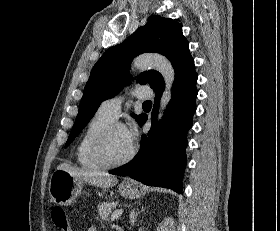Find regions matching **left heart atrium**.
<instances>
[{"label":"left heart atrium","instance_id":"obj_1","mask_svg":"<svg viewBox=\"0 0 280 231\" xmlns=\"http://www.w3.org/2000/svg\"><path fill=\"white\" fill-rule=\"evenodd\" d=\"M123 140L126 146L130 149L134 147L137 140L138 131L135 125L122 126Z\"/></svg>","mask_w":280,"mask_h":231}]
</instances>
